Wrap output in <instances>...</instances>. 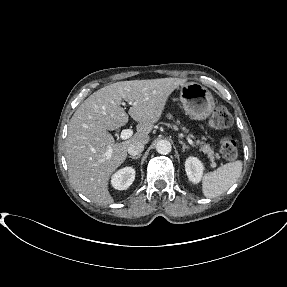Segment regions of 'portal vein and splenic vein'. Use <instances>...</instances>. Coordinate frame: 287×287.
<instances>
[{"label":"portal vein and splenic vein","instance_id":"portal-vein-and-splenic-vein-1","mask_svg":"<svg viewBox=\"0 0 287 287\" xmlns=\"http://www.w3.org/2000/svg\"><path fill=\"white\" fill-rule=\"evenodd\" d=\"M132 135H133V131L131 129H123L120 134V138L122 140H126V139H129ZM187 141L189 142L190 145H192L193 147H196L195 143L189 137H187ZM108 154H110V150ZM213 166H215V164H213Z\"/></svg>","mask_w":287,"mask_h":287}]
</instances>
